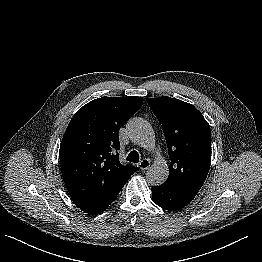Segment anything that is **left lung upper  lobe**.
<instances>
[{
    "instance_id": "obj_1",
    "label": "left lung upper lobe",
    "mask_w": 262,
    "mask_h": 262,
    "mask_svg": "<svg viewBox=\"0 0 262 262\" xmlns=\"http://www.w3.org/2000/svg\"><path fill=\"white\" fill-rule=\"evenodd\" d=\"M162 124L169 150L170 169L163 183L195 196L211 163V130L203 115L191 104L162 96L147 98Z\"/></svg>"
}]
</instances>
